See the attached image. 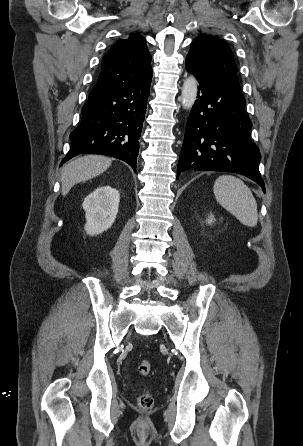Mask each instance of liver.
<instances>
[{"label":"liver","mask_w":303,"mask_h":446,"mask_svg":"<svg viewBox=\"0 0 303 446\" xmlns=\"http://www.w3.org/2000/svg\"><path fill=\"white\" fill-rule=\"evenodd\" d=\"M112 159L101 155H85L69 162L61 174V191L66 196L77 183L92 179L106 171Z\"/></svg>","instance_id":"6515ba94"}]
</instances>
